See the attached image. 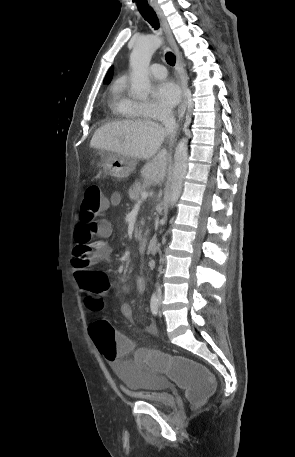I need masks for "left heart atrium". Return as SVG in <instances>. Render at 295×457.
<instances>
[{
	"mask_svg": "<svg viewBox=\"0 0 295 457\" xmlns=\"http://www.w3.org/2000/svg\"><path fill=\"white\" fill-rule=\"evenodd\" d=\"M154 94L157 101L166 107L175 106L181 97L179 86L170 80L160 82L156 86Z\"/></svg>",
	"mask_w": 295,
	"mask_h": 457,
	"instance_id": "obj_1",
	"label": "left heart atrium"
}]
</instances>
